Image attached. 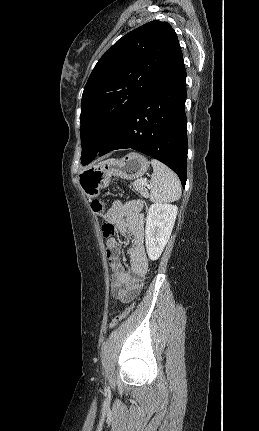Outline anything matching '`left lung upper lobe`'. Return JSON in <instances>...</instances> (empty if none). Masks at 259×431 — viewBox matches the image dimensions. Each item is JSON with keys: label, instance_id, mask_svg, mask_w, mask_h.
I'll use <instances>...</instances> for the list:
<instances>
[{"label": "left lung upper lobe", "instance_id": "5c2ea615", "mask_svg": "<svg viewBox=\"0 0 259 431\" xmlns=\"http://www.w3.org/2000/svg\"><path fill=\"white\" fill-rule=\"evenodd\" d=\"M181 51L175 31L158 20L120 38L95 65L83 91L81 162L90 163Z\"/></svg>", "mask_w": 259, "mask_h": 431}]
</instances>
